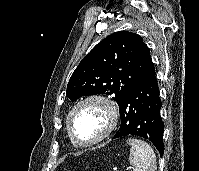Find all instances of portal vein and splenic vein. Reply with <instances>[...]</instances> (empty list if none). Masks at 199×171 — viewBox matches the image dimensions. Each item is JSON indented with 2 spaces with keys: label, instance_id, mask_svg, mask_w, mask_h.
Returning <instances> with one entry per match:
<instances>
[{
  "label": "portal vein and splenic vein",
  "instance_id": "18ae733b",
  "mask_svg": "<svg viewBox=\"0 0 199 171\" xmlns=\"http://www.w3.org/2000/svg\"><path fill=\"white\" fill-rule=\"evenodd\" d=\"M132 169V167H127L126 169H125V171H129V170H131Z\"/></svg>",
  "mask_w": 199,
  "mask_h": 171
}]
</instances>
